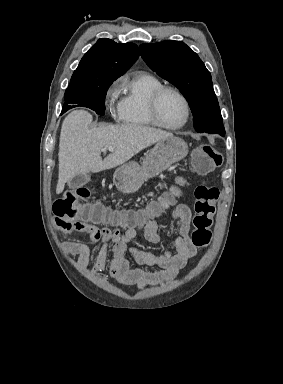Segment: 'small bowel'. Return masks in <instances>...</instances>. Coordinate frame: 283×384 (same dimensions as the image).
<instances>
[{
    "instance_id": "obj_1",
    "label": "small bowel",
    "mask_w": 283,
    "mask_h": 384,
    "mask_svg": "<svg viewBox=\"0 0 283 384\" xmlns=\"http://www.w3.org/2000/svg\"><path fill=\"white\" fill-rule=\"evenodd\" d=\"M170 210L171 216L177 227L178 235L170 243L169 249L163 253L156 254L131 247L129 243L135 238L136 231L133 227H127L121 231L118 228H100L84 222L65 225L60 219H55L57 229L74 233L85 237L90 242H100L101 246L96 256L93 272L100 274L106 265L108 250L111 247V262L109 273L118 283L125 285H136L143 290L147 287L160 284L175 278L179 272L189 267L197 254V248L190 236L191 210L185 204H176L163 210L156 209L155 218L147 221L144 225L145 238L152 242L161 241L159 234L158 219L165 211ZM64 251L78 257V264L84 268L90 259V248L82 241H69L64 244ZM130 254L136 267H131L127 258ZM142 266H155L159 271H146Z\"/></svg>"
}]
</instances>
